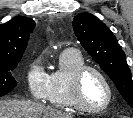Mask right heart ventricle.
I'll return each instance as SVG.
<instances>
[{
    "mask_svg": "<svg viewBox=\"0 0 133 118\" xmlns=\"http://www.w3.org/2000/svg\"><path fill=\"white\" fill-rule=\"evenodd\" d=\"M86 65L83 55L75 49L64 50L58 58L57 69L48 75V102L63 109H77L72 95V79L76 71Z\"/></svg>",
    "mask_w": 133,
    "mask_h": 118,
    "instance_id": "1",
    "label": "right heart ventricle"
}]
</instances>
